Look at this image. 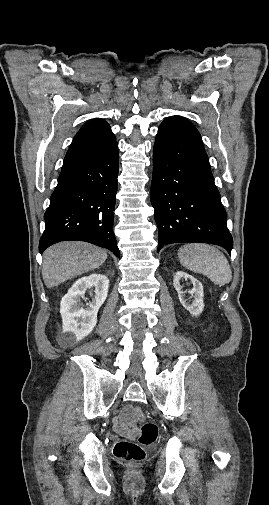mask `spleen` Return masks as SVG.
I'll return each instance as SVG.
<instances>
[{"label":"spleen","mask_w":269,"mask_h":505,"mask_svg":"<svg viewBox=\"0 0 269 505\" xmlns=\"http://www.w3.org/2000/svg\"><path fill=\"white\" fill-rule=\"evenodd\" d=\"M182 266L207 276L214 284L223 286L232 280V271L225 255L216 247L204 243H189L178 250Z\"/></svg>","instance_id":"3e777b00"}]
</instances>
